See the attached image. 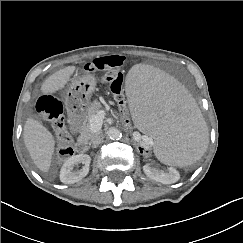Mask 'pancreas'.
Masks as SVG:
<instances>
[{
    "label": "pancreas",
    "instance_id": "1",
    "mask_svg": "<svg viewBox=\"0 0 243 243\" xmlns=\"http://www.w3.org/2000/svg\"><path fill=\"white\" fill-rule=\"evenodd\" d=\"M101 103L97 100L93 101L88 109H87V114L86 117L84 118L82 122V126L80 128V136L82 139L85 140H92L98 132H93L90 128V118L97 114V112L101 109Z\"/></svg>",
    "mask_w": 243,
    "mask_h": 243
}]
</instances>
